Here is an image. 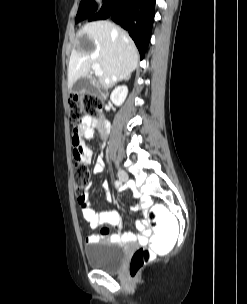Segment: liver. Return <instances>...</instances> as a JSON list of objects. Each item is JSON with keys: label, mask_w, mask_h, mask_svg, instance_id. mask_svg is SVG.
<instances>
[{"label": "liver", "mask_w": 247, "mask_h": 304, "mask_svg": "<svg viewBox=\"0 0 247 304\" xmlns=\"http://www.w3.org/2000/svg\"><path fill=\"white\" fill-rule=\"evenodd\" d=\"M87 40L86 48L81 40ZM139 61L138 50L128 33L109 21L86 24L77 34L68 66V88L81 77H88L93 64L103 74L99 82L104 89L116 81L129 79Z\"/></svg>", "instance_id": "obj_1"}]
</instances>
